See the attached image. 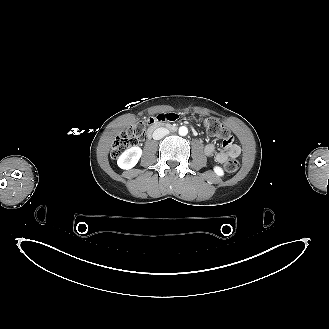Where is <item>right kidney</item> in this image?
I'll list each match as a JSON object with an SVG mask.
<instances>
[{
  "mask_svg": "<svg viewBox=\"0 0 329 329\" xmlns=\"http://www.w3.org/2000/svg\"><path fill=\"white\" fill-rule=\"evenodd\" d=\"M141 155L142 149L140 147H131L119 156L117 164L121 169H131L138 163Z\"/></svg>",
  "mask_w": 329,
  "mask_h": 329,
  "instance_id": "ca27d5eb",
  "label": "right kidney"
}]
</instances>
